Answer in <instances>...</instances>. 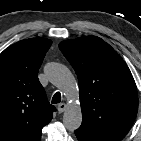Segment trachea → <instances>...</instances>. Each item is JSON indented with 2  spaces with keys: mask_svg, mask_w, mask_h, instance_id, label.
Wrapping results in <instances>:
<instances>
[{
  "mask_svg": "<svg viewBox=\"0 0 141 141\" xmlns=\"http://www.w3.org/2000/svg\"><path fill=\"white\" fill-rule=\"evenodd\" d=\"M61 101V94L59 92H56L52 98L51 103L56 104Z\"/></svg>",
  "mask_w": 141,
  "mask_h": 141,
  "instance_id": "3493384b",
  "label": "trachea"
}]
</instances>
